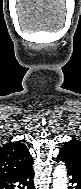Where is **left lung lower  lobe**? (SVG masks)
I'll return each instance as SVG.
<instances>
[{
  "instance_id": "0a47b994",
  "label": "left lung lower lobe",
  "mask_w": 81,
  "mask_h": 189,
  "mask_svg": "<svg viewBox=\"0 0 81 189\" xmlns=\"http://www.w3.org/2000/svg\"><path fill=\"white\" fill-rule=\"evenodd\" d=\"M60 161L64 162V159L61 155H58L57 162ZM68 175L70 176L69 182L72 183L73 185L69 189H81V175L69 168H68Z\"/></svg>"
}]
</instances>
